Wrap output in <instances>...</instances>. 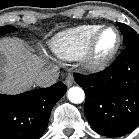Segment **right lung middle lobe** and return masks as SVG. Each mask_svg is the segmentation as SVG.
Instances as JSON below:
<instances>
[{"mask_svg":"<svg viewBox=\"0 0 139 139\" xmlns=\"http://www.w3.org/2000/svg\"><path fill=\"white\" fill-rule=\"evenodd\" d=\"M16 28H14L13 26H3L0 27V36L6 34L7 32H12L15 31Z\"/></svg>","mask_w":139,"mask_h":139,"instance_id":"1","label":"right lung middle lobe"}]
</instances>
